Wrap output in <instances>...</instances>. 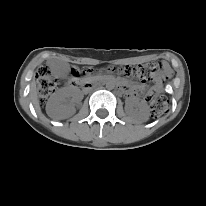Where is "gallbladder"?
<instances>
[{
	"label": "gallbladder",
	"instance_id": "1",
	"mask_svg": "<svg viewBox=\"0 0 206 206\" xmlns=\"http://www.w3.org/2000/svg\"><path fill=\"white\" fill-rule=\"evenodd\" d=\"M49 66L56 78H65L69 72V65L66 62L53 60L49 62Z\"/></svg>",
	"mask_w": 206,
	"mask_h": 206
}]
</instances>
